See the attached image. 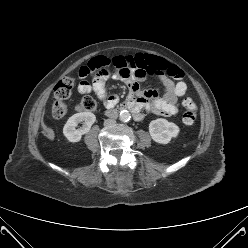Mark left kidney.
I'll return each mask as SVG.
<instances>
[{
    "mask_svg": "<svg viewBox=\"0 0 248 248\" xmlns=\"http://www.w3.org/2000/svg\"><path fill=\"white\" fill-rule=\"evenodd\" d=\"M179 127L166 119L158 118L149 124V133L152 139L160 144H168L172 138L179 134Z\"/></svg>",
    "mask_w": 248,
    "mask_h": 248,
    "instance_id": "1",
    "label": "left kidney"
}]
</instances>
